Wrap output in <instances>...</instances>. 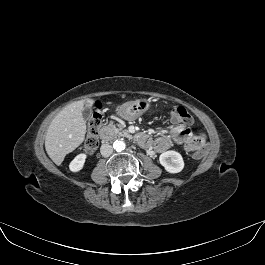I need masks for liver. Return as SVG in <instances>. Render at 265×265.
<instances>
[{"label": "liver", "mask_w": 265, "mask_h": 265, "mask_svg": "<svg viewBox=\"0 0 265 265\" xmlns=\"http://www.w3.org/2000/svg\"><path fill=\"white\" fill-rule=\"evenodd\" d=\"M93 99L76 101L63 108L51 121L45 149L56 165H61L65 156L74 151L85 139L86 122L82 112L84 105L93 106Z\"/></svg>", "instance_id": "6515ba94"}]
</instances>
